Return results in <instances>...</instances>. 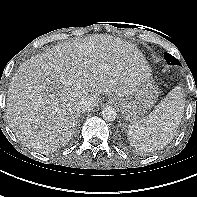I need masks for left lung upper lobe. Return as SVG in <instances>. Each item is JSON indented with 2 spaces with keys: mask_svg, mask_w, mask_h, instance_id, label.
I'll list each match as a JSON object with an SVG mask.
<instances>
[{
  "mask_svg": "<svg viewBox=\"0 0 197 197\" xmlns=\"http://www.w3.org/2000/svg\"><path fill=\"white\" fill-rule=\"evenodd\" d=\"M164 58L166 59V61L168 62V64L171 65H180L179 61L173 57L172 55H170L169 53H165L164 54Z\"/></svg>",
  "mask_w": 197,
  "mask_h": 197,
  "instance_id": "1",
  "label": "left lung upper lobe"
}]
</instances>
